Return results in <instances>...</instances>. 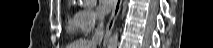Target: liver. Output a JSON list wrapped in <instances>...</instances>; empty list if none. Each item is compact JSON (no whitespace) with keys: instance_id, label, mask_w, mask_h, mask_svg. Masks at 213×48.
<instances>
[{"instance_id":"liver-1","label":"liver","mask_w":213,"mask_h":48,"mask_svg":"<svg viewBox=\"0 0 213 48\" xmlns=\"http://www.w3.org/2000/svg\"><path fill=\"white\" fill-rule=\"evenodd\" d=\"M68 48H96L89 40H79L71 44Z\"/></svg>"}]
</instances>
